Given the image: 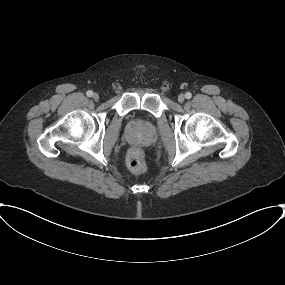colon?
I'll return each instance as SVG.
<instances>
[{
    "instance_id": "5ec220e1",
    "label": "colon",
    "mask_w": 285,
    "mask_h": 285,
    "mask_svg": "<svg viewBox=\"0 0 285 285\" xmlns=\"http://www.w3.org/2000/svg\"><path fill=\"white\" fill-rule=\"evenodd\" d=\"M127 165L129 169L137 174H142L146 171L147 166L141 152L133 149L127 158Z\"/></svg>"
}]
</instances>
